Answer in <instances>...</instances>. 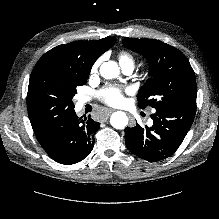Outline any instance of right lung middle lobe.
Returning <instances> with one entry per match:
<instances>
[{"label":"right lung middle lobe","instance_id":"right-lung-middle-lobe-1","mask_svg":"<svg viewBox=\"0 0 219 219\" xmlns=\"http://www.w3.org/2000/svg\"><path fill=\"white\" fill-rule=\"evenodd\" d=\"M87 78L58 73L51 65L33 69L27 94L30 120L41 125L74 109L72 98L77 93L76 88L86 84Z\"/></svg>","mask_w":219,"mask_h":219}]
</instances>
